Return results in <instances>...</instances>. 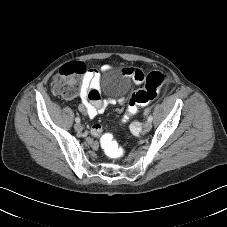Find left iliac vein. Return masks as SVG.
Wrapping results in <instances>:
<instances>
[{
  "label": "left iliac vein",
  "instance_id": "1",
  "mask_svg": "<svg viewBox=\"0 0 227 227\" xmlns=\"http://www.w3.org/2000/svg\"><path fill=\"white\" fill-rule=\"evenodd\" d=\"M151 128H152L151 122L147 121L143 125V132H149Z\"/></svg>",
  "mask_w": 227,
  "mask_h": 227
}]
</instances>
